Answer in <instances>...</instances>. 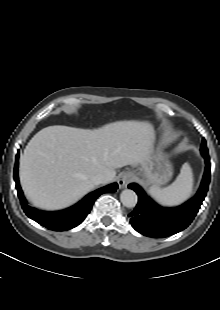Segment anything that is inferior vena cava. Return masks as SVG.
Masks as SVG:
<instances>
[{
  "mask_svg": "<svg viewBox=\"0 0 220 310\" xmlns=\"http://www.w3.org/2000/svg\"><path fill=\"white\" fill-rule=\"evenodd\" d=\"M91 181L94 185H99L102 183H106L108 181V178L103 174H96L92 176Z\"/></svg>",
  "mask_w": 220,
  "mask_h": 310,
  "instance_id": "1",
  "label": "inferior vena cava"
}]
</instances>
